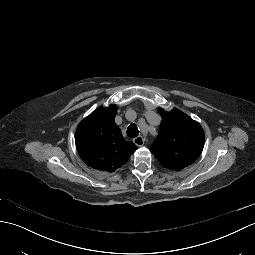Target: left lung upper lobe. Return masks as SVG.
Returning a JSON list of instances; mask_svg holds the SVG:
<instances>
[{
    "label": "left lung upper lobe",
    "instance_id": "5c2ea615",
    "mask_svg": "<svg viewBox=\"0 0 255 255\" xmlns=\"http://www.w3.org/2000/svg\"><path fill=\"white\" fill-rule=\"evenodd\" d=\"M162 122L150 151L165 168L180 171L200 156L205 135L200 124L183 112L159 109Z\"/></svg>",
    "mask_w": 255,
    "mask_h": 255
}]
</instances>
